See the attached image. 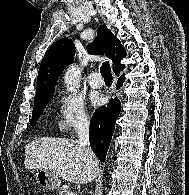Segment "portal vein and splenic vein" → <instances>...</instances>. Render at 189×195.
Listing matches in <instances>:
<instances>
[{
  "instance_id": "obj_1",
  "label": "portal vein and splenic vein",
  "mask_w": 189,
  "mask_h": 195,
  "mask_svg": "<svg viewBox=\"0 0 189 195\" xmlns=\"http://www.w3.org/2000/svg\"><path fill=\"white\" fill-rule=\"evenodd\" d=\"M68 195H77V194L74 192H69Z\"/></svg>"
}]
</instances>
